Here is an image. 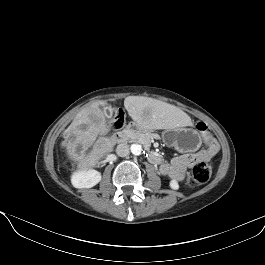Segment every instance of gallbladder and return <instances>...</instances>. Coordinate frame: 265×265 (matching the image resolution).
Masks as SVG:
<instances>
[{
  "instance_id": "1",
  "label": "gallbladder",
  "mask_w": 265,
  "mask_h": 265,
  "mask_svg": "<svg viewBox=\"0 0 265 265\" xmlns=\"http://www.w3.org/2000/svg\"><path fill=\"white\" fill-rule=\"evenodd\" d=\"M105 115H106L108 118H111V117H112V115H113V111H112V108H111L110 106L105 108Z\"/></svg>"
}]
</instances>
